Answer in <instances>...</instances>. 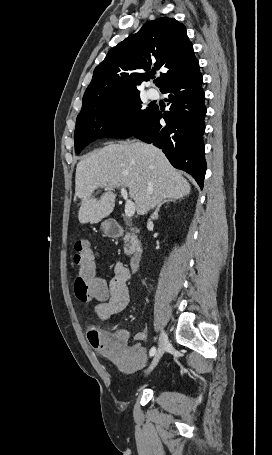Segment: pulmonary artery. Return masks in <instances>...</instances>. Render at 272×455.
<instances>
[{
    "label": "pulmonary artery",
    "instance_id": "pulmonary-artery-1",
    "mask_svg": "<svg viewBox=\"0 0 272 455\" xmlns=\"http://www.w3.org/2000/svg\"><path fill=\"white\" fill-rule=\"evenodd\" d=\"M148 96L150 99H157L159 97V92L156 89L150 88L148 90Z\"/></svg>",
    "mask_w": 272,
    "mask_h": 455
}]
</instances>
